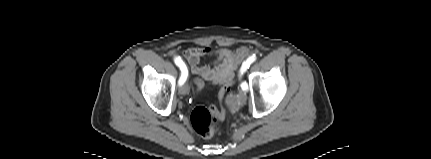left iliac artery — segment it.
Masks as SVG:
<instances>
[{
    "mask_svg": "<svg viewBox=\"0 0 431 159\" xmlns=\"http://www.w3.org/2000/svg\"><path fill=\"white\" fill-rule=\"evenodd\" d=\"M256 60V56L255 55H253V56H251V57H249L244 63H243V65H242V68H241V75H243V73L247 70V68H249V66L254 62ZM241 88L243 89V90H247L248 89V85H247V83L246 82H242L241 83Z\"/></svg>",
    "mask_w": 431,
    "mask_h": 159,
    "instance_id": "44dca946",
    "label": "left iliac artery"
}]
</instances>
